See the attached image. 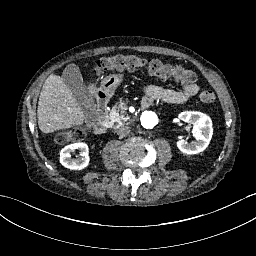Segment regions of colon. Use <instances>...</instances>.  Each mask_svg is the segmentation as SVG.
<instances>
[{"label":"colon","mask_w":256,"mask_h":256,"mask_svg":"<svg viewBox=\"0 0 256 256\" xmlns=\"http://www.w3.org/2000/svg\"><path fill=\"white\" fill-rule=\"evenodd\" d=\"M139 68H147L151 75L162 79H175L183 84H193L197 80V74L188 69L163 63L158 59H146L136 55H116L99 60L96 74L102 76L120 71H134ZM199 99L204 103H214L215 94L210 90H200ZM86 127H74L57 136L59 143H71L81 141L86 135Z\"/></svg>","instance_id":"colon-1"}]
</instances>
